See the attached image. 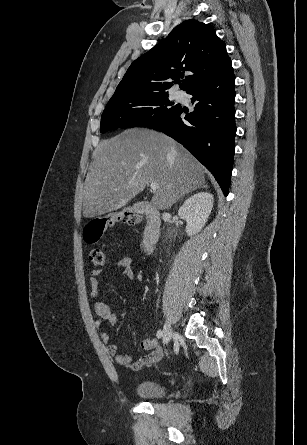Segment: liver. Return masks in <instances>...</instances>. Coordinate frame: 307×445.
<instances>
[{"label": "liver", "instance_id": "1", "mask_svg": "<svg viewBox=\"0 0 307 445\" xmlns=\"http://www.w3.org/2000/svg\"><path fill=\"white\" fill-rule=\"evenodd\" d=\"M93 158L83 190L87 218L121 208L149 182L158 184L151 202L161 210L205 184L204 166L182 144L156 130H123L101 140Z\"/></svg>", "mask_w": 307, "mask_h": 445}]
</instances>
